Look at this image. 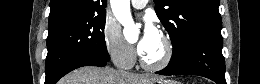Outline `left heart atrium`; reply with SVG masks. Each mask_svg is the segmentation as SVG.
<instances>
[{
	"label": "left heart atrium",
	"instance_id": "39dd6f15",
	"mask_svg": "<svg viewBox=\"0 0 260 84\" xmlns=\"http://www.w3.org/2000/svg\"><path fill=\"white\" fill-rule=\"evenodd\" d=\"M158 36L159 32L157 28L153 25L150 19L145 18L144 28L138 43V50L140 54L148 50Z\"/></svg>",
	"mask_w": 260,
	"mask_h": 84
}]
</instances>
